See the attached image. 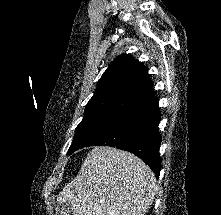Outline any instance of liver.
I'll use <instances>...</instances> for the list:
<instances>
[{"label": "liver", "instance_id": "1", "mask_svg": "<svg viewBox=\"0 0 221 215\" xmlns=\"http://www.w3.org/2000/svg\"><path fill=\"white\" fill-rule=\"evenodd\" d=\"M157 192L150 168L137 156L117 148L96 146L76 178L57 197L73 215H144Z\"/></svg>", "mask_w": 221, "mask_h": 215}]
</instances>
